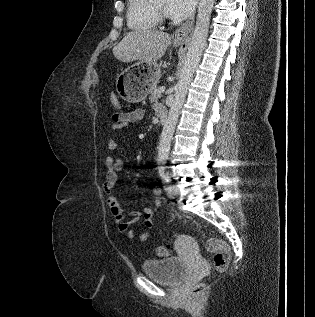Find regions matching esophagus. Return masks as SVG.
Here are the masks:
<instances>
[{
	"instance_id": "1",
	"label": "esophagus",
	"mask_w": 315,
	"mask_h": 317,
	"mask_svg": "<svg viewBox=\"0 0 315 317\" xmlns=\"http://www.w3.org/2000/svg\"><path fill=\"white\" fill-rule=\"evenodd\" d=\"M194 26V17H191L186 23L175 30L173 34L174 40L180 44L181 48L187 49Z\"/></svg>"
}]
</instances>
